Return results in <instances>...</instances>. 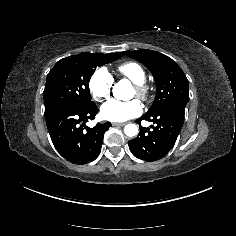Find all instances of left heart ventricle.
<instances>
[{
  "instance_id": "obj_1",
  "label": "left heart ventricle",
  "mask_w": 236,
  "mask_h": 236,
  "mask_svg": "<svg viewBox=\"0 0 236 236\" xmlns=\"http://www.w3.org/2000/svg\"><path fill=\"white\" fill-rule=\"evenodd\" d=\"M137 98V93L134 88H132L130 99Z\"/></svg>"
}]
</instances>
